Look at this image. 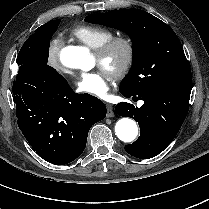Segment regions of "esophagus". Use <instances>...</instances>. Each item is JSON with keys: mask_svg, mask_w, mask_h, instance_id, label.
<instances>
[{"mask_svg": "<svg viewBox=\"0 0 209 209\" xmlns=\"http://www.w3.org/2000/svg\"><path fill=\"white\" fill-rule=\"evenodd\" d=\"M106 107H107V117L108 118L114 117L113 106L111 104H107Z\"/></svg>", "mask_w": 209, "mask_h": 209, "instance_id": "obj_1", "label": "esophagus"}]
</instances>
